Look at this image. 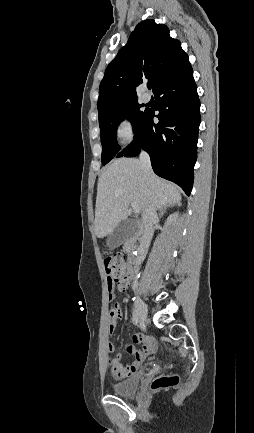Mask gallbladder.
Here are the masks:
<instances>
[{
  "mask_svg": "<svg viewBox=\"0 0 254 433\" xmlns=\"http://www.w3.org/2000/svg\"><path fill=\"white\" fill-rule=\"evenodd\" d=\"M139 224L134 220H123L113 230L107 240V246L114 249L124 243L127 239L138 234Z\"/></svg>",
  "mask_w": 254,
  "mask_h": 433,
  "instance_id": "1",
  "label": "gallbladder"
}]
</instances>
